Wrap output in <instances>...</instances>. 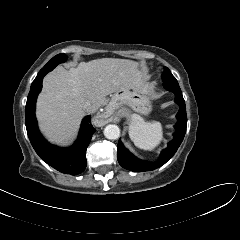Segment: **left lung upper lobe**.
Returning a JSON list of instances; mask_svg holds the SVG:
<instances>
[{
    "instance_id": "left-lung-upper-lobe-1",
    "label": "left lung upper lobe",
    "mask_w": 240,
    "mask_h": 240,
    "mask_svg": "<svg viewBox=\"0 0 240 240\" xmlns=\"http://www.w3.org/2000/svg\"><path fill=\"white\" fill-rule=\"evenodd\" d=\"M162 79L164 82L178 83L177 80L175 79V77L172 75V73L170 72V70L167 67H165V69H164Z\"/></svg>"
}]
</instances>
